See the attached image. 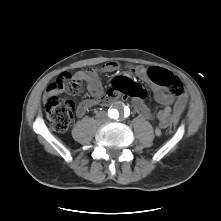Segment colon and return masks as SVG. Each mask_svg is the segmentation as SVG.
<instances>
[{"mask_svg":"<svg viewBox=\"0 0 221 221\" xmlns=\"http://www.w3.org/2000/svg\"><path fill=\"white\" fill-rule=\"evenodd\" d=\"M150 75L156 84L168 88L174 95L183 94L181 81L170 72L153 68L150 70ZM79 89V83L72 81L68 74L59 75L49 86L45 99V112L50 126L55 131H66L74 117V104L71 101L58 98V94L62 91L75 94ZM123 92L129 97L145 98L147 96L146 88L135 82L126 85Z\"/></svg>","mask_w":221,"mask_h":221,"instance_id":"colon-1","label":"colon"}]
</instances>
